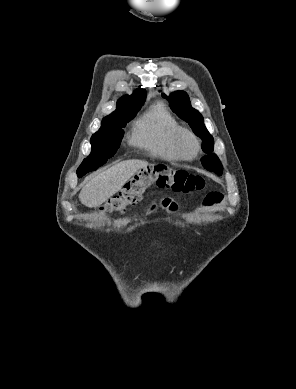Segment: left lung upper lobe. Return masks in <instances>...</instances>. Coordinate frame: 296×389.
I'll return each mask as SVG.
<instances>
[{"instance_id":"left-lung-upper-lobe-1","label":"left lung upper lobe","mask_w":296,"mask_h":389,"mask_svg":"<svg viewBox=\"0 0 296 389\" xmlns=\"http://www.w3.org/2000/svg\"><path fill=\"white\" fill-rule=\"evenodd\" d=\"M162 96L170 102L173 112L185 120L193 132L203 140V151L207 154L212 153L214 139L204 125L203 116L191 106L187 93L176 91L170 96H166L165 94H162ZM202 165L209 171H213L218 175L222 174L223 167L216 154L204 156L202 158Z\"/></svg>"}]
</instances>
